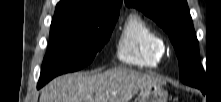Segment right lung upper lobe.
Listing matches in <instances>:
<instances>
[{
  "label": "right lung upper lobe",
  "mask_w": 221,
  "mask_h": 102,
  "mask_svg": "<svg viewBox=\"0 0 221 102\" xmlns=\"http://www.w3.org/2000/svg\"><path fill=\"white\" fill-rule=\"evenodd\" d=\"M122 0H60L55 14H109L119 12Z\"/></svg>",
  "instance_id": "cb5924a9"
}]
</instances>
